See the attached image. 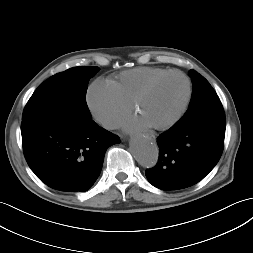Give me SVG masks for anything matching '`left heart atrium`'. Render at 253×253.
<instances>
[{"label": "left heart atrium", "instance_id": "39dd6f15", "mask_svg": "<svg viewBox=\"0 0 253 253\" xmlns=\"http://www.w3.org/2000/svg\"><path fill=\"white\" fill-rule=\"evenodd\" d=\"M125 128L128 130H135L140 128H145L151 126L147 121H145L139 115L131 118L124 124Z\"/></svg>", "mask_w": 253, "mask_h": 253}]
</instances>
